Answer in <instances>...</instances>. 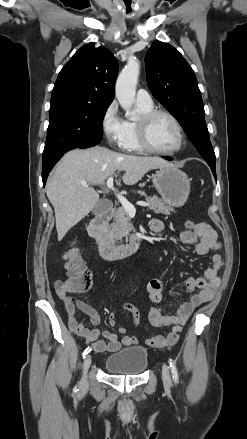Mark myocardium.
<instances>
[{
	"label": "myocardium",
	"instance_id": "obj_1",
	"mask_svg": "<svg viewBox=\"0 0 247 439\" xmlns=\"http://www.w3.org/2000/svg\"><path fill=\"white\" fill-rule=\"evenodd\" d=\"M159 115L168 117L173 122V124L177 129L178 143L176 147H174L173 149L159 150L154 148L149 141L148 133H149L150 124L153 121V119ZM137 135H138L139 144L141 145L144 151L158 155H164V156L174 155L183 148L185 143V133L180 121L174 114L164 109H152L146 113L141 114L140 118L137 120Z\"/></svg>",
	"mask_w": 247,
	"mask_h": 439
}]
</instances>
